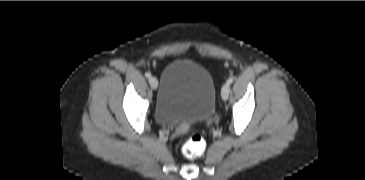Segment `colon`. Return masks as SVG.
<instances>
[{
	"label": "colon",
	"mask_w": 365,
	"mask_h": 180,
	"mask_svg": "<svg viewBox=\"0 0 365 180\" xmlns=\"http://www.w3.org/2000/svg\"><path fill=\"white\" fill-rule=\"evenodd\" d=\"M206 149V142L200 135H192L187 141L182 144V154L188 158L193 159L201 157Z\"/></svg>",
	"instance_id": "colon-1"
}]
</instances>
